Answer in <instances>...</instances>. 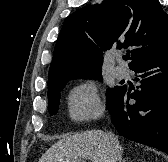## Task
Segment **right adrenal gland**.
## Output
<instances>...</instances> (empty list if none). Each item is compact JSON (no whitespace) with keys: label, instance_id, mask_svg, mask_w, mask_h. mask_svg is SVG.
<instances>
[{"label":"right adrenal gland","instance_id":"2a0ac1e0","mask_svg":"<svg viewBox=\"0 0 168 162\" xmlns=\"http://www.w3.org/2000/svg\"><path fill=\"white\" fill-rule=\"evenodd\" d=\"M122 162H126V160H125V159H123V160H122Z\"/></svg>","mask_w":168,"mask_h":162}]
</instances>
